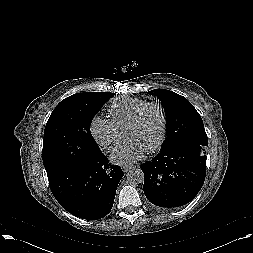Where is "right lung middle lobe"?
<instances>
[{"label": "right lung middle lobe", "mask_w": 253, "mask_h": 253, "mask_svg": "<svg viewBox=\"0 0 253 253\" xmlns=\"http://www.w3.org/2000/svg\"><path fill=\"white\" fill-rule=\"evenodd\" d=\"M109 92L77 93L62 100L47 121L43 139V164L47 171L91 160L101 150L90 124Z\"/></svg>", "instance_id": "obj_1"}]
</instances>
